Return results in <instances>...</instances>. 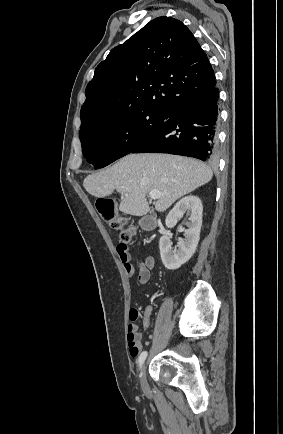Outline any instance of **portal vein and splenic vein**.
Instances as JSON below:
<instances>
[{"label": "portal vein and splenic vein", "mask_w": 283, "mask_h": 434, "mask_svg": "<svg viewBox=\"0 0 283 434\" xmlns=\"http://www.w3.org/2000/svg\"><path fill=\"white\" fill-rule=\"evenodd\" d=\"M149 196L151 199L156 200V199L161 197V193L157 190H152V191H150Z\"/></svg>", "instance_id": "18ae733b"}]
</instances>
